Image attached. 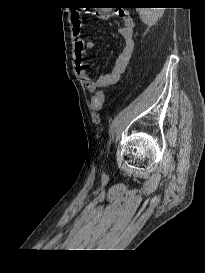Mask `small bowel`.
I'll return each instance as SVG.
<instances>
[{"label":"small bowel","instance_id":"1","mask_svg":"<svg viewBox=\"0 0 205 273\" xmlns=\"http://www.w3.org/2000/svg\"><path fill=\"white\" fill-rule=\"evenodd\" d=\"M112 16L111 10L104 9L99 13V18L108 19ZM122 27L119 29V34L124 40L122 50L115 58L112 71L101 75L97 80H93L90 74L83 69L84 57L87 52L95 48V43L92 40H84L81 36V26L83 18L81 14L75 12L71 15L73 34L75 37V64L80 77L82 78L86 88L91 93H97L102 89L108 88L117 83L132 56L134 49L133 33L134 21L132 17L125 12L120 13Z\"/></svg>","mask_w":205,"mask_h":273}]
</instances>
